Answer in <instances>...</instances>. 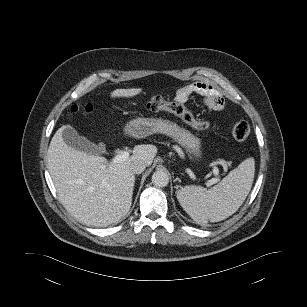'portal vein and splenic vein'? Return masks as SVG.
Returning <instances> with one entry per match:
<instances>
[{"label":"portal vein and splenic vein","mask_w":307,"mask_h":307,"mask_svg":"<svg viewBox=\"0 0 307 307\" xmlns=\"http://www.w3.org/2000/svg\"><path fill=\"white\" fill-rule=\"evenodd\" d=\"M128 158H129V152L125 151V150H121V151L118 152V154H116L112 158L111 163H114V164L115 163H121L123 161H126ZM212 170H213V173L215 175H218L219 171H218L217 167H214ZM217 182H218V178H212V179L208 180L207 186L210 187Z\"/></svg>","instance_id":"portal-vein-and-splenic-vein-1"}]
</instances>
